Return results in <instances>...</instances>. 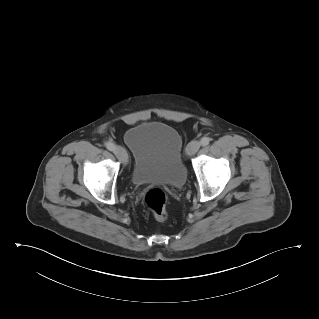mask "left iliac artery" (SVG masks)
<instances>
[{"mask_svg":"<svg viewBox=\"0 0 319 319\" xmlns=\"http://www.w3.org/2000/svg\"><path fill=\"white\" fill-rule=\"evenodd\" d=\"M200 143L202 146H207L210 143V139L208 137H203Z\"/></svg>","mask_w":319,"mask_h":319,"instance_id":"1","label":"left iliac artery"}]
</instances>
